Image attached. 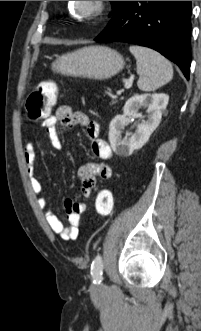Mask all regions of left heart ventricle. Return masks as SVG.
I'll return each instance as SVG.
<instances>
[{"mask_svg": "<svg viewBox=\"0 0 201 331\" xmlns=\"http://www.w3.org/2000/svg\"><path fill=\"white\" fill-rule=\"evenodd\" d=\"M81 7L83 10H89L91 8V4L88 1H83Z\"/></svg>", "mask_w": 201, "mask_h": 331, "instance_id": "b2bd125f", "label": "left heart ventricle"}]
</instances>
